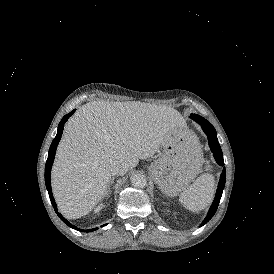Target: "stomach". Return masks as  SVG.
Returning a JSON list of instances; mask_svg holds the SVG:
<instances>
[{
  "mask_svg": "<svg viewBox=\"0 0 274 274\" xmlns=\"http://www.w3.org/2000/svg\"><path fill=\"white\" fill-rule=\"evenodd\" d=\"M194 139L188 131L172 133L170 139L162 143L163 152L149 166L155 184L169 197L186 189L201 170Z\"/></svg>",
  "mask_w": 274,
  "mask_h": 274,
  "instance_id": "obj_1",
  "label": "stomach"
}]
</instances>
